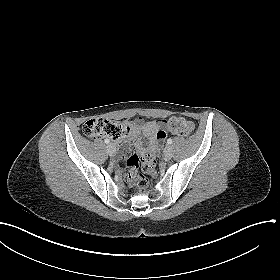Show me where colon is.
<instances>
[{
	"label": "colon",
	"mask_w": 280,
	"mask_h": 280,
	"mask_svg": "<svg viewBox=\"0 0 280 280\" xmlns=\"http://www.w3.org/2000/svg\"><path fill=\"white\" fill-rule=\"evenodd\" d=\"M165 128L173 134L188 136L194 130L192 122L182 117H171L164 123ZM122 124L104 118H94L86 121L82 127L85 136L98 139L101 137L116 138L123 133ZM126 179L134 183L141 194H145L147 189L146 174H153L155 168V157L147 152L138 156H131L126 160Z\"/></svg>",
	"instance_id": "5ec220e1"
}]
</instances>
